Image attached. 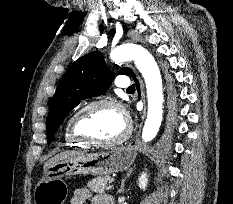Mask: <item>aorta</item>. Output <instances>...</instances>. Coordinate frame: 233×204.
Listing matches in <instances>:
<instances>
[{
  "mask_svg": "<svg viewBox=\"0 0 233 204\" xmlns=\"http://www.w3.org/2000/svg\"><path fill=\"white\" fill-rule=\"evenodd\" d=\"M110 57L116 63L134 60L137 69L144 77L148 114L142 131V140L149 142L158 133L163 115L162 78L158 65L145 48L133 43L123 44L113 49Z\"/></svg>",
  "mask_w": 233,
  "mask_h": 204,
  "instance_id": "aorta-1",
  "label": "aorta"
}]
</instances>
